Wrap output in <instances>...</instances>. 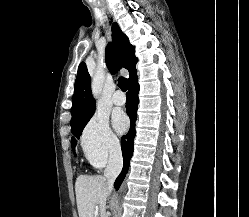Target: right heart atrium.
<instances>
[{
  "mask_svg": "<svg viewBox=\"0 0 249 217\" xmlns=\"http://www.w3.org/2000/svg\"><path fill=\"white\" fill-rule=\"evenodd\" d=\"M80 144L87 162L95 168L103 167L119 150L118 140L108 119L93 115L82 130Z\"/></svg>",
  "mask_w": 249,
  "mask_h": 217,
  "instance_id": "d8ad5b80",
  "label": "right heart atrium"
}]
</instances>
